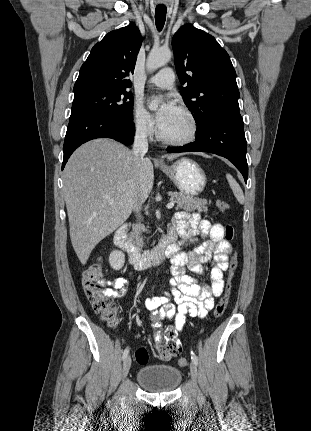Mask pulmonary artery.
Here are the masks:
<instances>
[{"mask_svg":"<svg viewBox=\"0 0 311 431\" xmlns=\"http://www.w3.org/2000/svg\"><path fill=\"white\" fill-rule=\"evenodd\" d=\"M174 81V71L169 67L159 70L154 76L150 78V82L160 89L171 88L174 85Z\"/></svg>","mask_w":311,"mask_h":431,"instance_id":"pulmonary-artery-1","label":"pulmonary artery"}]
</instances>
